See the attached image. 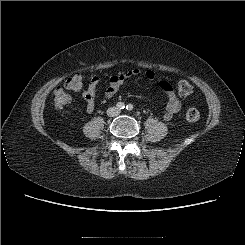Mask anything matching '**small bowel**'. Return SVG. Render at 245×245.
<instances>
[{"mask_svg": "<svg viewBox=\"0 0 245 245\" xmlns=\"http://www.w3.org/2000/svg\"><path fill=\"white\" fill-rule=\"evenodd\" d=\"M139 73L138 69H132L124 73L112 75L109 79L108 86L105 89L104 96L108 99L114 97L121 85L127 79L135 77ZM146 77L149 80H154L155 74L152 71H148L146 72ZM99 81V77H93L88 88L82 94L86 102V111L88 114L93 113L95 110L96 92ZM159 85L167 96V105L163 118L165 121H170L179 112L181 101L169 81L162 79L159 81Z\"/></svg>", "mask_w": 245, "mask_h": 245, "instance_id": "c3829d8e", "label": "small bowel"}]
</instances>
